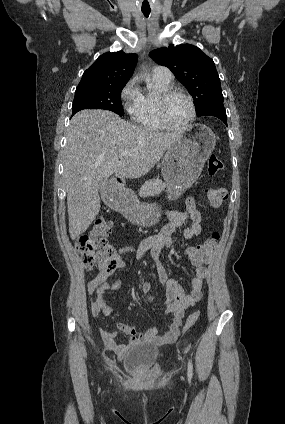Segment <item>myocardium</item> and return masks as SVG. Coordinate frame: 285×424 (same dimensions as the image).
Instances as JSON below:
<instances>
[{
  "label": "myocardium",
  "mask_w": 285,
  "mask_h": 424,
  "mask_svg": "<svg viewBox=\"0 0 285 424\" xmlns=\"http://www.w3.org/2000/svg\"><path fill=\"white\" fill-rule=\"evenodd\" d=\"M177 95L185 97L187 99V101L189 102V105H190V115H189L188 119L181 125L171 124L168 121V119L166 117V113H165L166 103L168 102L169 99H171L172 97L177 96ZM156 107H157V116H158L160 123L162 124V126L164 128L169 129V130L184 131L185 129H187L190 126V124L193 122V120L196 117V107H195V103H194L192 96L189 95L188 93L182 91V90L169 89V90H166V91L160 93L157 97Z\"/></svg>",
  "instance_id": "f54148a6"
}]
</instances>
